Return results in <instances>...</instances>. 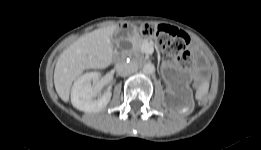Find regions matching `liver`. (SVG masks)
<instances>
[{"label":"liver","mask_w":261,"mask_h":150,"mask_svg":"<svg viewBox=\"0 0 261 150\" xmlns=\"http://www.w3.org/2000/svg\"><path fill=\"white\" fill-rule=\"evenodd\" d=\"M118 26L96 29L81 36L60 55L54 70V85L59 97L69 101L73 81L88 69H104L113 58L112 36Z\"/></svg>","instance_id":"liver-1"}]
</instances>
